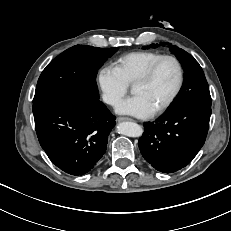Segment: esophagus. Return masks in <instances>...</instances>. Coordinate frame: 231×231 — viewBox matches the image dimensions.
<instances>
[{
	"mask_svg": "<svg viewBox=\"0 0 231 231\" xmlns=\"http://www.w3.org/2000/svg\"><path fill=\"white\" fill-rule=\"evenodd\" d=\"M117 121L118 122H122V121H132L131 118H128V117H118L117 118Z\"/></svg>",
	"mask_w": 231,
	"mask_h": 231,
	"instance_id": "34e87169",
	"label": "esophagus"
}]
</instances>
